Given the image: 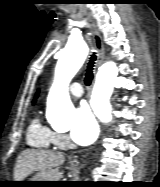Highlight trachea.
Returning a JSON list of instances; mask_svg holds the SVG:
<instances>
[{
  "label": "trachea",
  "instance_id": "1",
  "mask_svg": "<svg viewBox=\"0 0 160 187\" xmlns=\"http://www.w3.org/2000/svg\"><path fill=\"white\" fill-rule=\"evenodd\" d=\"M95 60H96V55L95 53H93L90 57L87 70H86V74H85V84L87 86L91 84L92 79H93V67H94Z\"/></svg>",
  "mask_w": 160,
  "mask_h": 187
}]
</instances>
